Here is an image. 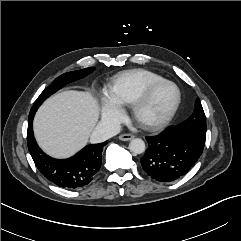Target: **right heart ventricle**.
<instances>
[{
    "instance_id": "1",
    "label": "right heart ventricle",
    "mask_w": 241,
    "mask_h": 241,
    "mask_svg": "<svg viewBox=\"0 0 241 241\" xmlns=\"http://www.w3.org/2000/svg\"><path fill=\"white\" fill-rule=\"evenodd\" d=\"M163 79L161 75L145 69L124 71L113 80V99L120 106H131L149 85Z\"/></svg>"
}]
</instances>
